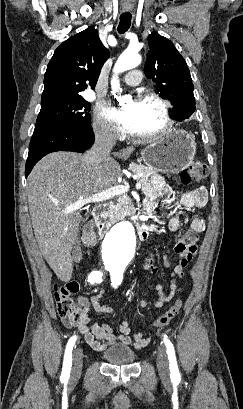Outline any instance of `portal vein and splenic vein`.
<instances>
[{
  "label": "portal vein and splenic vein",
  "instance_id": "1",
  "mask_svg": "<svg viewBox=\"0 0 243 409\" xmlns=\"http://www.w3.org/2000/svg\"><path fill=\"white\" fill-rule=\"evenodd\" d=\"M141 188V183L137 182L136 183V189H140ZM129 191V185H118V186H113L103 192L94 194L92 196H89L87 198H80L77 202H75L74 204L70 205L69 207H67L65 209V213H69L71 211H75V210H79L81 209L85 204L87 203H96V202H102L105 200H108L114 196L120 195V194H124L127 193Z\"/></svg>",
  "mask_w": 243,
  "mask_h": 409
}]
</instances>
